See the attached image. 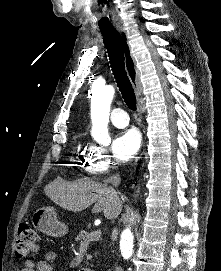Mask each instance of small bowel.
I'll use <instances>...</instances> for the list:
<instances>
[{
	"mask_svg": "<svg viewBox=\"0 0 221 271\" xmlns=\"http://www.w3.org/2000/svg\"><path fill=\"white\" fill-rule=\"evenodd\" d=\"M58 255L56 251L46 252L43 259L27 260L25 264L18 268V271H54Z\"/></svg>",
	"mask_w": 221,
	"mask_h": 271,
	"instance_id": "1",
	"label": "small bowel"
}]
</instances>
